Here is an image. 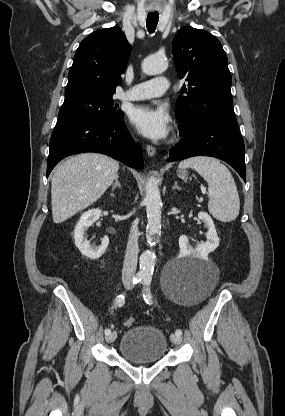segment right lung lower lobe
<instances>
[{
  "label": "right lung lower lobe",
  "instance_id": "1",
  "mask_svg": "<svg viewBox=\"0 0 285 416\" xmlns=\"http://www.w3.org/2000/svg\"><path fill=\"white\" fill-rule=\"evenodd\" d=\"M84 152H97L126 165L143 168L142 152L134 143L123 120L57 122L50 139L47 177L63 158Z\"/></svg>",
  "mask_w": 285,
  "mask_h": 416
}]
</instances>
